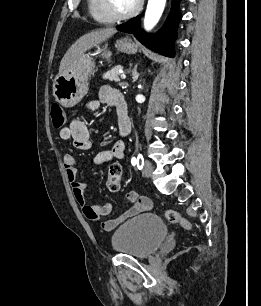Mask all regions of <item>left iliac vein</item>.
I'll return each mask as SVG.
<instances>
[{
  "mask_svg": "<svg viewBox=\"0 0 261 306\" xmlns=\"http://www.w3.org/2000/svg\"><path fill=\"white\" fill-rule=\"evenodd\" d=\"M153 172V165L151 162L146 161L143 167V173L145 177H150L152 175Z\"/></svg>",
  "mask_w": 261,
  "mask_h": 306,
  "instance_id": "4c4485c4",
  "label": "left iliac vein"
}]
</instances>
